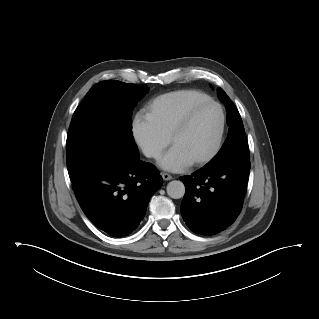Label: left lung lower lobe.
Returning a JSON list of instances; mask_svg holds the SVG:
<instances>
[{
  "instance_id": "1",
  "label": "left lung lower lobe",
  "mask_w": 319,
  "mask_h": 319,
  "mask_svg": "<svg viewBox=\"0 0 319 319\" xmlns=\"http://www.w3.org/2000/svg\"><path fill=\"white\" fill-rule=\"evenodd\" d=\"M249 170V158L233 157L180 177L186 187L181 214L189 229L208 236L233 224L242 209Z\"/></svg>"
}]
</instances>
